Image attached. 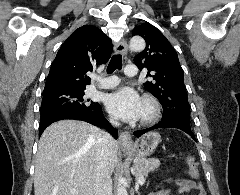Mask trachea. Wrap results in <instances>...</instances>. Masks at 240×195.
Wrapping results in <instances>:
<instances>
[{
    "mask_svg": "<svg viewBox=\"0 0 240 195\" xmlns=\"http://www.w3.org/2000/svg\"><path fill=\"white\" fill-rule=\"evenodd\" d=\"M122 68V55H113L107 67V73H113Z\"/></svg>",
    "mask_w": 240,
    "mask_h": 195,
    "instance_id": "1",
    "label": "trachea"
}]
</instances>
